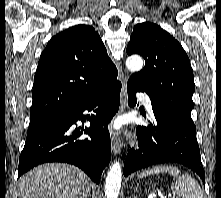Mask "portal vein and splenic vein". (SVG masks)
<instances>
[{"instance_id":"obj_1","label":"portal vein and splenic vein","mask_w":221,"mask_h":198,"mask_svg":"<svg viewBox=\"0 0 221 198\" xmlns=\"http://www.w3.org/2000/svg\"><path fill=\"white\" fill-rule=\"evenodd\" d=\"M168 197H172V198H174V196H171V195H169ZM161 198H167L166 196H161Z\"/></svg>"}]
</instances>
